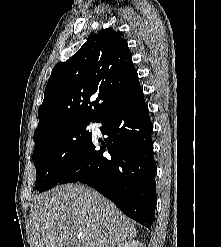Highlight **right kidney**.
Wrapping results in <instances>:
<instances>
[{
    "label": "right kidney",
    "mask_w": 221,
    "mask_h": 247,
    "mask_svg": "<svg viewBox=\"0 0 221 247\" xmlns=\"http://www.w3.org/2000/svg\"><path fill=\"white\" fill-rule=\"evenodd\" d=\"M117 247H144V245L139 241L129 240L119 243Z\"/></svg>",
    "instance_id": "ca27d5eb"
}]
</instances>
